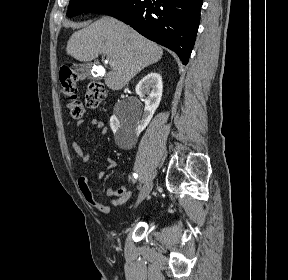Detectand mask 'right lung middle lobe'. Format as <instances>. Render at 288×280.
<instances>
[{
    "label": "right lung middle lobe",
    "mask_w": 288,
    "mask_h": 280,
    "mask_svg": "<svg viewBox=\"0 0 288 280\" xmlns=\"http://www.w3.org/2000/svg\"><path fill=\"white\" fill-rule=\"evenodd\" d=\"M125 0H70L67 12L68 17L81 13H104L106 10L124 2Z\"/></svg>",
    "instance_id": "right-lung-middle-lobe-1"
}]
</instances>
